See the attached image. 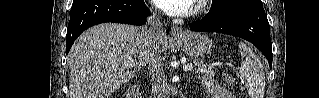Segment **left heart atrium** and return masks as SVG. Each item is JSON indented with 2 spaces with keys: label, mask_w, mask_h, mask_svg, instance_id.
I'll list each match as a JSON object with an SVG mask.
<instances>
[{
  "label": "left heart atrium",
  "mask_w": 319,
  "mask_h": 98,
  "mask_svg": "<svg viewBox=\"0 0 319 98\" xmlns=\"http://www.w3.org/2000/svg\"><path fill=\"white\" fill-rule=\"evenodd\" d=\"M158 7L170 15H182L190 12L195 4L194 0H156Z\"/></svg>",
  "instance_id": "39dd6f15"
}]
</instances>
